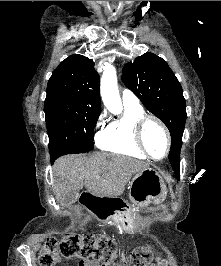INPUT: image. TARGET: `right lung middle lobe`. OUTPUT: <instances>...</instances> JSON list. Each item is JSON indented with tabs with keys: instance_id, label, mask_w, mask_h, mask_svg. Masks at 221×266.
Returning a JSON list of instances; mask_svg holds the SVG:
<instances>
[{
	"instance_id": "obj_1",
	"label": "right lung middle lobe",
	"mask_w": 221,
	"mask_h": 266,
	"mask_svg": "<svg viewBox=\"0 0 221 266\" xmlns=\"http://www.w3.org/2000/svg\"><path fill=\"white\" fill-rule=\"evenodd\" d=\"M44 112L51 158L93 149V131L100 112L88 111L75 98L62 94H48Z\"/></svg>"
}]
</instances>
